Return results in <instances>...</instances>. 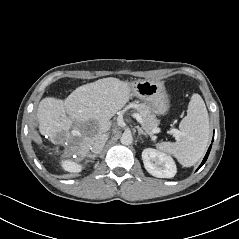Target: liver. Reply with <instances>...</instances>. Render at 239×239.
I'll return each mask as SVG.
<instances>
[{"mask_svg":"<svg viewBox=\"0 0 239 239\" xmlns=\"http://www.w3.org/2000/svg\"><path fill=\"white\" fill-rule=\"evenodd\" d=\"M131 96L129 82L109 77L76 88L65 100L46 97L37 109L39 132L48 136L52 143L61 144L68 139L70 129L73 135H81L83 124L92 121L96 124L95 131L90 136H83L77 154L81 158L88 156L90 147L98 154L96 138L110 129V119Z\"/></svg>","mask_w":239,"mask_h":239,"instance_id":"obj_1","label":"liver"}]
</instances>
